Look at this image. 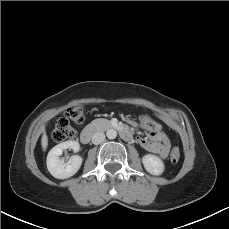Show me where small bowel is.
<instances>
[{
    "mask_svg": "<svg viewBox=\"0 0 229 229\" xmlns=\"http://www.w3.org/2000/svg\"><path fill=\"white\" fill-rule=\"evenodd\" d=\"M143 127L146 122H152V128H147L148 133L143 137H138L137 141L145 150L157 154L160 158L167 157L170 149V142L168 137L161 131V126L150 119L148 116L140 118Z\"/></svg>",
    "mask_w": 229,
    "mask_h": 229,
    "instance_id": "obj_1",
    "label": "small bowel"
}]
</instances>
